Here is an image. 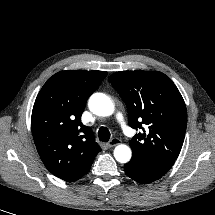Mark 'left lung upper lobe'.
I'll list each match as a JSON object with an SVG mask.
<instances>
[{"instance_id":"obj_1","label":"left lung upper lobe","mask_w":215,"mask_h":215,"mask_svg":"<svg viewBox=\"0 0 215 215\" xmlns=\"http://www.w3.org/2000/svg\"><path fill=\"white\" fill-rule=\"evenodd\" d=\"M109 82L127 106L129 125L141 129L129 142L133 150L129 163L165 175L180 153L187 126V110L178 88L157 71L117 72Z\"/></svg>"}]
</instances>
